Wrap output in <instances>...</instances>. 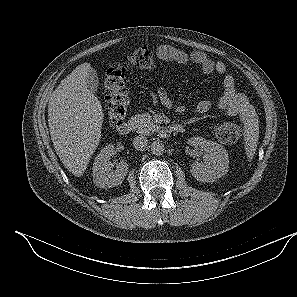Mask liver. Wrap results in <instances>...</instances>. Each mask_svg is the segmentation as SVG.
<instances>
[{
    "mask_svg": "<svg viewBox=\"0 0 297 297\" xmlns=\"http://www.w3.org/2000/svg\"><path fill=\"white\" fill-rule=\"evenodd\" d=\"M91 68L83 63L53 91L48 104V124L54 149L64 167L81 176L101 139L104 113L98 98L86 86Z\"/></svg>",
    "mask_w": 297,
    "mask_h": 297,
    "instance_id": "1",
    "label": "liver"
}]
</instances>
